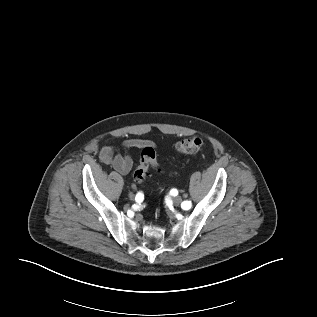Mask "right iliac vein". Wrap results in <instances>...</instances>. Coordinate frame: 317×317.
Returning <instances> with one entry per match:
<instances>
[{
  "label": "right iliac vein",
  "instance_id": "obj_1",
  "mask_svg": "<svg viewBox=\"0 0 317 317\" xmlns=\"http://www.w3.org/2000/svg\"><path fill=\"white\" fill-rule=\"evenodd\" d=\"M129 198H130V199H133V198H134V195H133L132 193H130V194H129Z\"/></svg>",
  "mask_w": 317,
  "mask_h": 317
}]
</instances>
